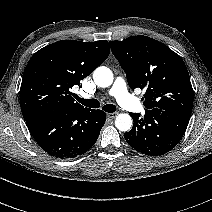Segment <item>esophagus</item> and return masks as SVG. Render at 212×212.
I'll return each mask as SVG.
<instances>
[{
  "label": "esophagus",
  "instance_id": "obj_1",
  "mask_svg": "<svg viewBox=\"0 0 212 212\" xmlns=\"http://www.w3.org/2000/svg\"><path fill=\"white\" fill-rule=\"evenodd\" d=\"M117 115V113H107L108 118H114Z\"/></svg>",
  "mask_w": 212,
  "mask_h": 212
}]
</instances>
